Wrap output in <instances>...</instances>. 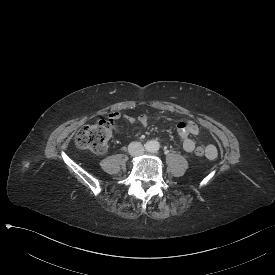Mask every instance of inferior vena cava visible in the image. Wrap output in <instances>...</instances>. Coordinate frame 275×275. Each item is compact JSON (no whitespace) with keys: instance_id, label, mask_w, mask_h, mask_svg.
<instances>
[{"instance_id":"inferior-vena-cava-1","label":"inferior vena cava","mask_w":275,"mask_h":275,"mask_svg":"<svg viewBox=\"0 0 275 275\" xmlns=\"http://www.w3.org/2000/svg\"><path fill=\"white\" fill-rule=\"evenodd\" d=\"M128 152L132 156H140L144 153V147L140 142H131L128 146Z\"/></svg>"}]
</instances>
